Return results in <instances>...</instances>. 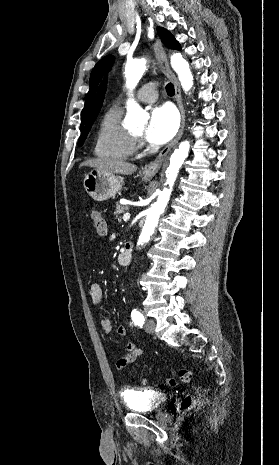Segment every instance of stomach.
Returning <instances> with one entry per match:
<instances>
[{"instance_id":"stomach-1","label":"stomach","mask_w":279,"mask_h":465,"mask_svg":"<svg viewBox=\"0 0 279 465\" xmlns=\"http://www.w3.org/2000/svg\"><path fill=\"white\" fill-rule=\"evenodd\" d=\"M151 177L143 176L148 181ZM123 179L113 173L92 170L84 178L86 192L96 201H105L114 197L123 186Z\"/></svg>"}]
</instances>
